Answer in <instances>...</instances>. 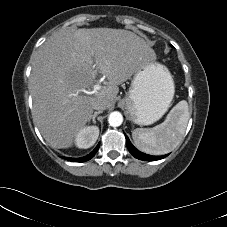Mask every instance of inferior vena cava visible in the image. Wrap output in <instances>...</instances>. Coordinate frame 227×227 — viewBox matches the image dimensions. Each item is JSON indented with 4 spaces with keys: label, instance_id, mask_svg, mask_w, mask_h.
Masks as SVG:
<instances>
[{
    "label": "inferior vena cava",
    "instance_id": "obj_1",
    "mask_svg": "<svg viewBox=\"0 0 227 227\" xmlns=\"http://www.w3.org/2000/svg\"><path fill=\"white\" fill-rule=\"evenodd\" d=\"M92 107L94 110L103 111L106 109V103L103 101H96Z\"/></svg>",
    "mask_w": 227,
    "mask_h": 227
}]
</instances>
